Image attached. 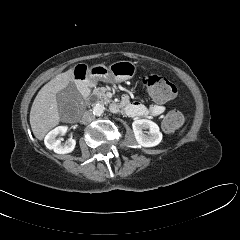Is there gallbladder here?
<instances>
[{"mask_svg": "<svg viewBox=\"0 0 240 240\" xmlns=\"http://www.w3.org/2000/svg\"><path fill=\"white\" fill-rule=\"evenodd\" d=\"M56 98L59 113L62 117H64L70 110L76 109L77 104L80 102V95L73 83H69L65 89L58 92Z\"/></svg>", "mask_w": 240, "mask_h": 240, "instance_id": "1", "label": "gallbladder"}]
</instances>
